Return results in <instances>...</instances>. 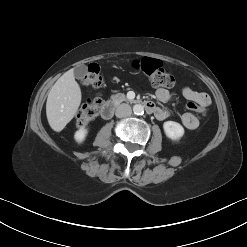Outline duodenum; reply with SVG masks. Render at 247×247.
Returning a JSON list of instances; mask_svg holds the SVG:
<instances>
[{
    "instance_id": "obj_1",
    "label": "duodenum",
    "mask_w": 247,
    "mask_h": 247,
    "mask_svg": "<svg viewBox=\"0 0 247 247\" xmlns=\"http://www.w3.org/2000/svg\"><path fill=\"white\" fill-rule=\"evenodd\" d=\"M144 106L147 111L154 113L156 111V106L150 101L144 102ZM115 111V103L108 101L106 102L101 109V116L103 119H109L112 117Z\"/></svg>"
}]
</instances>
